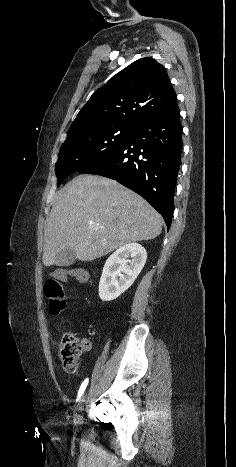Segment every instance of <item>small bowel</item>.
I'll list each match as a JSON object with an SVG mask.
<instances>
[{"instance_id": "small-bowel-1", "label": "small bowel", "mask_w": 236, "mask_h": 467, "mask_svg": "<svg viewBox=\"0 0 236 467\" xmlns=\"http://www.w3.org/2000/svg\"><path fill=\"white\" fill-rule=\"evenodd\" d=\"M62 320H63V322L67 323L70 327L74 328V323L73 322H71V321H69L68 319H65V318H63ZM90 348H91L90 343L86 341L85 351L90 350Z\"/></svg>"}]
</instances>
